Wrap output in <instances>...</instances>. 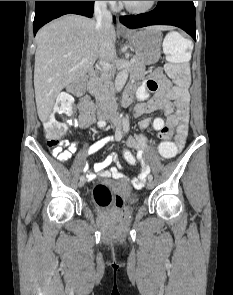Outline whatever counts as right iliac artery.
Returning a JSON list of instances; mask_svg holds the SVG:
<instances>
[{"label":"right iliac artery","instance_id":"obj_1","mask_svg":"<svg viewBox=\"0 0 233 295\" xmlns=\"http://www.w3.org/2000/svg\"><path fill=\"white\" fill-rule=\"evenodd\" d=\"M122 134H123L122 130L120 128H117V130L115 132V140L120 141L122 138ZM82 179H85L84 176H80V180H82Z\"/></svg>","mask_w":233,"mask_h":295}]
</instances>
